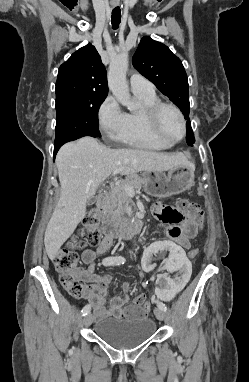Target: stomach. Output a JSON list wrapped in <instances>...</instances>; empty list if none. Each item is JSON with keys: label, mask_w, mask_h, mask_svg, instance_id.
<instances>
[{"label": "stomach", "mask_w": 249, "mask_h": 382, "mask_svg": "<svg viewBox=\"0 0 249 382\" xmlns=\"http://www.w3.org/2000/svg\"><path fill=\"white\" fill-rule=\"evenodd\" d=\"M147 185L145 191L154 197H166L184 192L194 184V169L190 166H177L168 171L145 173L143 175Z\"/></svg>", "instance_id": "1"}]
</instances>
